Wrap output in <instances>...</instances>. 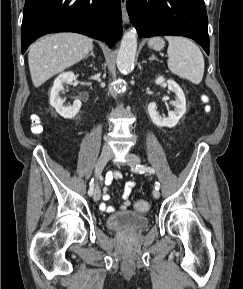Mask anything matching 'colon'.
<instances>
[{"instance_id":"5ec220e1","label":"colon","mask_w":243,"mask_h":289,"mask_svg":"<svg viewBox=\"0 0 243 289\" xmlns=\"http://www.w3.org/2000/svg\"><path fill=\"white\" fill-rule=\"evenodd\" d=\"M31 130L34 134H41L43 132V127L41 125L40 118L37 115L31 117ZM134 208L137 212L145 213L149 210L150 205L145 200H138L134 204Z\"/></svg>"}]
</instances>
